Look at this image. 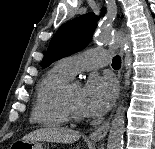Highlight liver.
<instances>
[{
    "instance_id": "obj_1",
    "label": "liver",
    "mask_w": 155,
    "mask_h": 149,
    "mask_svg": "<svg viewBox=\"0 0 155 149\" xmlns=\"http://www.w3.org/2000/svg\"><path fill=\"white\" fill-rule=\"evenodd\" d=\"M81 138L78 131L62 127H47L37 129L25 135L23 141H47L56 143H73Z\"/></svg>"
}]
</instances>
